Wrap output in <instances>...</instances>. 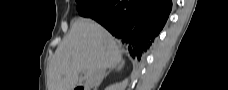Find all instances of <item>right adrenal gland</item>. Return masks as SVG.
Here are the masks:
<instances>
[{
  "mask_svg": "<svg viewBox=\"0 0 228 90\" xmlns=\"http://www.w3.org/2000/svg\"><path fill=\"white\" fill-rule=\"evenodd\" d=\"M123 65H124V62L122 61L117 67H115V68H111L106 74H105V78L110 74V72L112 71V70H117V71H120L121 69H122V67H123Z\"/></svg>",
  "mask_w": 228,
  "mask_h": 90,
  "instance_id": "1",
  "label": "right adrenal gland"
}]
</instances>
